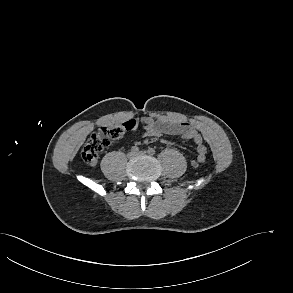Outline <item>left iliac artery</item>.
Returning a JSON list of instances; mask_svg holds the SVG:
<instances>
[{
  "label": "left iliac artery",
  "instance_id": "44dca946",
  "mask_svg": "<svg viewBox=\"0 0 293 293\" xmlns=\"http://www.w3.org/2000/svg\"><path fill=\"white\" fill-rule=\"evenodd\" d=\"M155 149L154 148H149L148 149V154H150V155H154L155 154Z\"/></svg>",
  "mask_w": 293,
  "mask_h": 293
}]
</instances>
